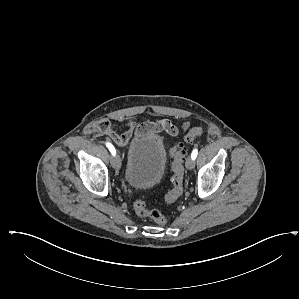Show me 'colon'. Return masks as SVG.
Here are the masks:
<instances>
[{
	"label": "colon",
	"mask_w": 299,
	"mask_h": 299,
	"mask_svg": "<svg viewBox=\"0 0 299 299\" xmlns=\"http://www.w3.org/2000/svg\"><path fill=\"white\" fill-rule=\"evenodd\" d=\"M100 131H107L109 123L102 121L97 125ZM203 136V130L199 127L190 129L180 140H177L171 148L172 157V185L164 197L166 203L176 201L183 193L184 160L186 155L185 145L193 143L196 139ZM135 212L141 217H147L159 225L167 223V218L158 210H149L144 200L138 199L133 204Z\"/></svg>",
	"instance_id": "5ec220e1"
}]
</instances>
